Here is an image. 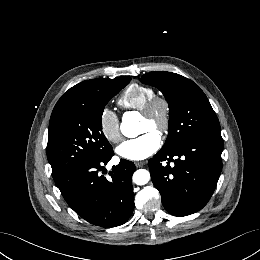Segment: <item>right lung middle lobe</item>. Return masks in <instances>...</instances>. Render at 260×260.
<instances>
[{
    "instance_id": "dd1d6c3e",
    "label": "right lung middle lobe",
    "mask_w": 260,
    "mask_h": 260,
    "mask_svg": "<svg viewBox=\"0 0 260 260\" xmlns=\"http://www.w3.org/2000/svg\"><path fill=\"white\" fill-rule=\"evenodd\" d=\"M130 80L109 82L93 91L84 102L68 107L50 120L47 157L53 177L74 164L94 161L113 151L102 132V114L104 106Z\"/></svg>"
}]
</instances>
